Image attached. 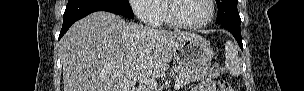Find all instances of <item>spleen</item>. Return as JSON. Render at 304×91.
<instances>
[{
  "label": "spleen",
  "mask_w": 304,
  "mask_h": 91,
  "mask_svg": "<svg viewBox=\"0 0 304 91\" xmlns=\"http://www.w3.org/2000/svg\"><path fill=\"white\" fill-rule=\"evenodd\" d=\"M225 66L233 76H239L241 73V60L238 51L232 41L226 42L225 45Z\"/></svg>",
  "instance_id": "3e777b00"
}]
</instances>
